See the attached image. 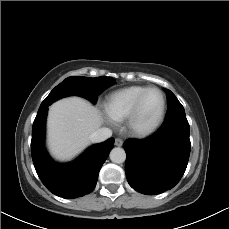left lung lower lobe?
I'll use <instances>...</instances> for the list:
<instances>
[{
    "label": "left lung lower lobe",
    "instance_id": "left-lung-lower-lobe-1",
    "mask_svg": "<svg viewBox=\"0 0 229 229\" xmlns=\"http://www.w3.org/2000/svg\"><path fill=\"white\" fill-rule=\"evenodd\" d=\"M190 128L185 118L164 122L152 136L124 143L125 172L136 191L155 195L172 189L182 178L190 155Z\"/></svg>",
    "mask_w": 229,
    "mask_h": 229
}]
</instances>
